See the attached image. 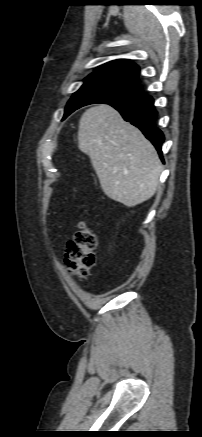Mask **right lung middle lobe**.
<instances>
[{
  "instance_id": "dd1d6c3e",
  "label": "right lung middle lobe",
  "mask_w": 202,
  "mask_h": 437,
  "mask_svg": "<svg viewBox=\"0 0 202 437\" xmlns=\"http://www.w3.org/2000/svg\"><path fill=\"white\" fill-rule=\"evenodd\" d=\"M143 95L140 84L129 77L112 72H94L85 78L65 108L64 118L76 109L94 103H113Z\"/></svg>"
}]
</instances>
